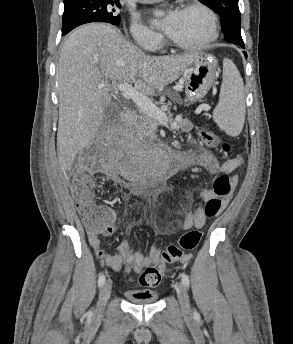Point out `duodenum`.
<instances>
[{
  "instance_id": "obj_1",
  "label": "duodenum",
  "mask_w": 293,
  "mask_h": 344,
  "mask_svg": "<svg viewBox=\"0 0 293 344\" xmlns=\"http://www.w3.org/2000/svg\"><path fill=\"white\" fill-rule=\"evenodd\" d=\"M133 120V114L127 112L123 117V124L127 125ZM174 166L182 168L189 163L188 154L186 152H174L172 156Z\"/></svg>"
}]
</instances>
